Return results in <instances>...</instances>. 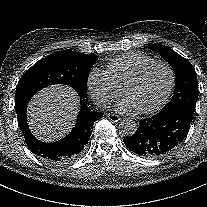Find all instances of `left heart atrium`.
<instances>
[{"mask_svg": "<svg viewBox=\"0 0 207 207\" xmlns=\"http://www.w3.org/2000/svg\"><path fill=\"white\" fill-rule=\"evenodd\" d=\"M115 109L118 112L126 113V114H135L137 113L134 106L131 104L129 100L126 98L115 105Z\"/></svg>", "mask_w": 207, "mask_h": 207, "instance_id": "1", "label": "left heart atrium"}]
</instances>
